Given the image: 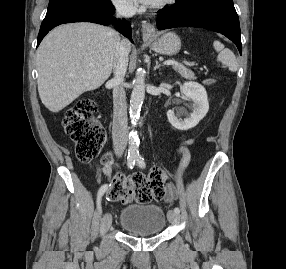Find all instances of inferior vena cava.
Segmentation results:
<instances>
[{
	"label": "inferior vena cava",
	"mask_w": 286,
	"mask_h": 269,
	"mask_svg": "<svg viewBox=\"0 0 286 269\" xmlns=\"http://www.w3.org/2000/svg\"><path fill=\"white\" fill-rule=\"evenodd\" d=\"M115 7L117 17H132L136 12L132 5L124 2L117 3ZM128 53L126 41L122 40L118 43L115 50L113 62L114 77L111 80L113 84L114 110L112 139L117 156L123 154L128 141L126 93L122 85L128 66Z\"/></svg>",
	"instance_id": "obj_1"
}]
</instances>
